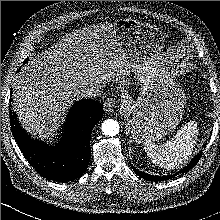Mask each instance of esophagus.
Wrapping results in <instances>:
<instances>
[{
  "instance_id": "obj_1",
  "label": "esophagus",
  "mask_w": 220,
  "mask_h": 220,
  "mask_svg": "<svg viewBox=\"0 0 220 220\" xmlns=\"http://www.w3.org/2000/svg\"><path fill=\"white\" fill-rule=\"evenodd\" d=\"M103 106H104V110L107 113H109V114L113 113L115 111V108H116V101L113 98H107L104 101Z\"/></svg>"
}]
</instances>
